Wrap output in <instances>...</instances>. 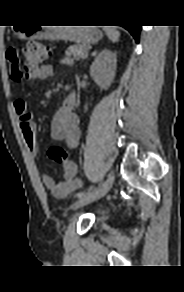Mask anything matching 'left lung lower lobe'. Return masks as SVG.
Segmentation results:
<instances>
[{"instance_id":"1","label":"left lung lower lobe","mask_w":184,"mask_h":292,"mask_svg":"<svg viewBox=\"0 0 184 292\" xmlns=\"http://www.w3.org/2000/svg\"><path fill=\"white\" fill-rule=\"evenodd\" d=\"M123 27L126 28L132 34L136 42L139 41V33H140L141 26L132 25V26H123Z\"/></svg>"}]
</instances>
